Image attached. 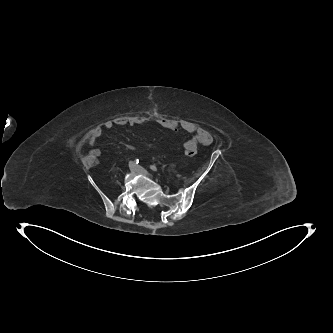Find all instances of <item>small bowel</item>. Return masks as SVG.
<instances>
[{"mask_svg":"<svg viewBox=\"0 0 333 333\" xmlns=\"http://www.w3.org/2000/svg\"><path fill=\"white\" fill-rule=\"evenodd\" d=\"M145 120L136 117H121L115 120H109L104 123V128L112 129L114 126H135L141 125ZM158 124L167 130L176 131L182 129L183 131L191 134V138L184 142V150H196L198 145H209L213 142L212 135L205 129L199 127L195 123L189 121L177 122L172 119H161ZM102 135V128H94L88 137V143L94 145L98 138ZM101 154L99 149H93L91 155L94 157H99Z\"/></svg>","mask_w":333,"mask_h":333,"instance_id":"obj_1","label":"small bowel"}]
</instances>
